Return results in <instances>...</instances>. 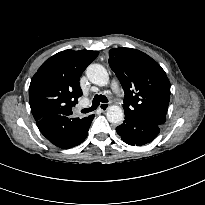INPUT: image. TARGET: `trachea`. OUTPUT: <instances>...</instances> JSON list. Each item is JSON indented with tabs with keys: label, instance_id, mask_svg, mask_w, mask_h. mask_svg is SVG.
<instances>
[{
	"label": "trachea",
	"instance_id": "3493384b",
	"mask_svg": "<svg viewBox=\"0 0 205 205\" xmlns=\"http://www.w3.org/2000/svg\"><path fill=\"white\" fill-rule=\"evenodd\" d=\"M100 102L107 103L108 99L104 95H95L93 102H92V106L90 108L81 110V112L88 113V112L93 111L99 106Z\"/></svg>",
	"mask_w": 205,
	"mask_h": 205
}]
</instances>
